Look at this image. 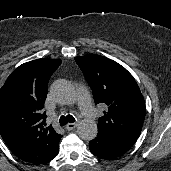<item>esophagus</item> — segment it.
I'll list each match as a JSON object with an SVG mask.
<instances>
[{
  "label": "esophagus",
  "mask_w": 171,
  "mask_h": 171,
  "mask_svg": "<svg viewBox=\"0 0 171 171\" xmlns=\"http://www.w3.org/2000/svg\"><path fill=\"white\" fill-rule=\"evenodd\" d=\"M77 125H78V123H68V124L65 126V129L68 130V131H70V130L76 128Z\"/></svg>",
  "instance_id": "34e87169"
}]
</instances>
